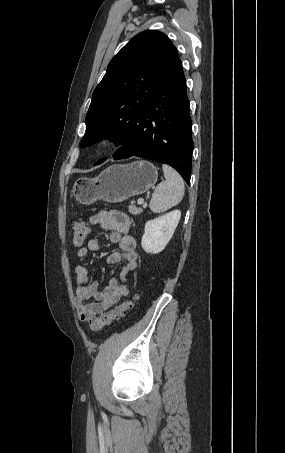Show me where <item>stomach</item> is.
Here are the masks:
<instances>
[{"label": "stomach", "mask_w": 285, "mask_h": 453, "mask_svg": "<svg viewBox=\"0 0 285 453\" xmlns=\"http://www.w3.org/2000/svg\"><path fill=\"white\" fill-rule=\"evenodd\" d=\"M157 168L148 161L111 165L95 178L81 177L73 185V195L81 204L97 200L120 203L131 196L141 195L154 186Z\"/></svg>", "instance_id": "0dacf381"}]
</instances>
